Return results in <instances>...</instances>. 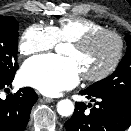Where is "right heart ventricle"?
I'll return each instance as SVG.
<instances>
[{
	"label": "right heart ventricle",
	"mask_w": 131,
	"mask_h": 131,
	"mask_svg": "<svg viewBox=\"0 0 131 131\" xmlns=\"http://www.w3.org/2000/svg\"><path fill=\"white\" fill-rule=\"evenodd\" d=\"M60 42H71L84 34L103 29L98 22L84 17H65L53 27Z\"/></svg>",
	"instance_id": "1"
}]
</instances>
